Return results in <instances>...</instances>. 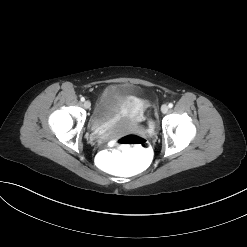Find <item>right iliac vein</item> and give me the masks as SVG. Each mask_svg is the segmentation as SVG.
Segmentation results:
<instances>
[{
	"mask_svg": "<svg viewBox=\"0 0 247 247\" xmlns=\"http://www.w3.org/2000/svg\"><path fill=\"white\" fill-rule=\"evenodd\" d=\"M84 107H85L86 109H89V108L91 107V102H90L89 100H86V101L84 102Z\"/></svg>",
	"mask_w": 247,
	"mask_h": 247,
	"instance_id": "obj_1",
	"label": "right iliac vein"
}]
</instances>
